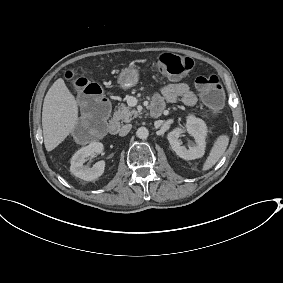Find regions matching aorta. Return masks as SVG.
I'll list each match as a JSON object with an SVG mask.
<instances>
[{
	"label": "aorta",
	"instance_id": "1",
	"mask_svg": "<svg viewBox=\"0 0 283 283\" xmlns=\"http://www.w3.org/2000/svg\"><path fill=\"white\" fill-rule=\"evenodd\" d=\"M136 135L140 139H146L149 135V131L146 127H139L137 129Z\"/></svg>",
	"mask_w": 283,
	"mask_h": 283
}]
</instances>
